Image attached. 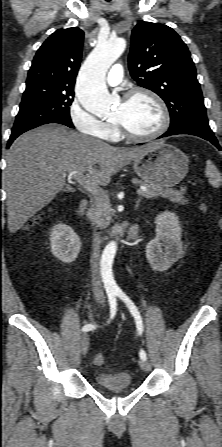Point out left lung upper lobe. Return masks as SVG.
I'll use <instances>...</instances> for the list:
<instances>
[{
	"label": "left lung upper lobe",
	"mask_w": 222,
	"mask_h": 447,
	"mask_svg": "<svg viewBox=\"0 0 222 447\" xmlns=\"http://www.w3.org/2000/svg\"><path fill=\"white\" fill-rule=\"evenodd\" d=\"M131 37V76L166 102L170 128L189 124L212 131L194 62L180 36L166 25L142 22L132 30Z\"/></svg>",
	"instance_id": "obj_1"
}]
</instances>
